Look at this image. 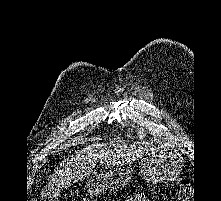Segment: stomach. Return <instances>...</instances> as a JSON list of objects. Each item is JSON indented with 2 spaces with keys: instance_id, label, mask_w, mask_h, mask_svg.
I'll return each instance as SVG.
<instances>
[{
  "instance_id": "stomach-1",
  "label": "stomach",
  "mask_w": 221,
  "mask_h": 201,
  "mask_svg": "<svg viewBox=\"0 0 221 201\" xmlns=\"http://www.w3.org/2000/svg\"><path fill=\"white\" fill-rule=\"evenodd\" d=\"M182 168V157L168 150H156L144 156L140 162L142 178L154 184L166 183L176 178ZM132 178L133 172L128 168L118 169L91 177L86 188L90 194L99 195L126 185Z\"/></svg>"
}]
</instances>
